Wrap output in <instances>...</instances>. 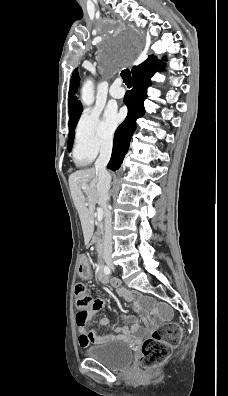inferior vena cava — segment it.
Listing matches in <instances>:
<instances>
[{"label": "inferior vena cava", "mask_w": 228, "mask_h": 396, "mask_svg": "<svg viewBox=\"0 0 228 396\" xmlns=\"http://www.w3.org/2000/svg\"><path fill=\"white\" fill-rule=\"evenodd\" d=\"M112 153V141H106L102 144L100 155L95 162V168L98 172L97 190L102 202L104 210V241H103V254H112V216L108 209V201L110 200L109 189L111 176L106 170V166L110 160Z\"/></svg>", "instance_id": "1"}]
</instances>
